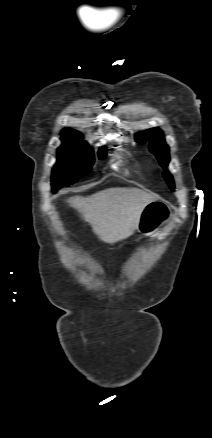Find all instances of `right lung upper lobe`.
<instances>
[{
    "mask_svg": "<svg viewBox=\"0 0 212 438\" xmlns=\"http://www.w3.org/2000/svg\"><path fill=\"white\" fill-rule=\"evenodd\" d=\"M62 140H78L82 141L81 134L73 129H64L61 133Z\"/></svg>",
    "mask_w": 212,
    "mask_h": 438,
    "instance_id": "1",
    "label": "right lung upper lobe"
}]
</instances>
